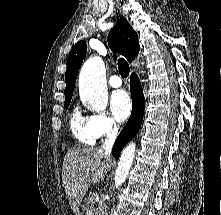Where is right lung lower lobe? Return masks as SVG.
Listing matches in <instances>:
<instances>
[{
  "label": "right lung lower lobe",
  "mask_w": 221,
  "mask_h": 215,
  "mask_svg": "<svg viewBox=\"0 0 221 215\" xmlns=\"http://www.w3.org/2000/svg\"><path fill=\"white\" fill-rule=\"evenodd\" d=\"M130 90L132 97V113L125 127L117 137L112 153L118 159L119 155L128 141H130L140 130L143 120L145 98L138 76L132 73L130 78Z\"/></svg>",
  "instance_id": "obj_1"
}]
</instances>
